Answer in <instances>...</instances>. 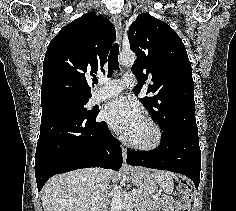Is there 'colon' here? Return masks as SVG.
I'll return each instance as SVG.
<instances>
[{"mask_svg":"<svg viewBox=\"0 0 236 211\" xmlns=\"http://www.w3.org/2000/svg\"><path fill=\"white\" fill-rule=\"evenodd\" d=\"M177 188L184 204L182 211H189V204L192 201V185L187 181H180Z\"/></svg>","mask_w":236,"mask_h":211,"instance_id":"1","label":"colon"}]
</instances>
